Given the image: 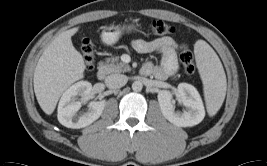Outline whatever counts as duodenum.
Masks as SVG:
<instances>
[{"label": "duodenum", "instance_id": "obj_1", "mask_svg": "<svg viewBox=\"0 0 267 166\" xmlns=\"http://www.w3.org/2000/svg\"><path fill=\"white\" fill-rule=\"evenodd\" d=\"M105 76H106V69L104 67H100L96 72L97 79L102 81L104 80Z\"/></svg>", "mask_w": 267, "mask_h": 166}]
</instances>
